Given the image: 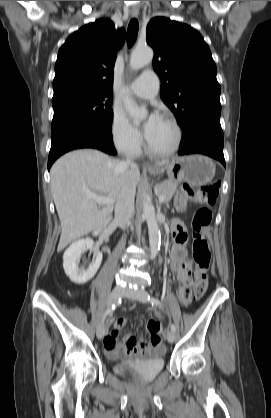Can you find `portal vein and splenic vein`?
I'll return each instance as SVG.
<instances>
[{"label": "portal vein and splenic vein", "instance_id": "18ae733b", "mask_svg": "<svg viewBox=\"0 0 271 418\" xmlns=\"http://www.w3.org/2000/svg\"><path fill=\"white\" fill-rule=\"evenodd\" d=\"M89 198L95 200L99 205H109L114 203V200L109 197L94 195V194H88ZM164 201V196H159V202Z\"/></svg>", "mask_w": 271, "mask_h": 418}]
</instances>
